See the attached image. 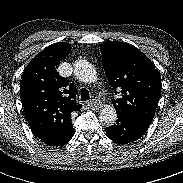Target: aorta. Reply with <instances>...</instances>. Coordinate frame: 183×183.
<instances>
[{
	"instance_id": "762f6f07",
	"label": "aorta",
	"mask_w": 183,
	"mask_h": 183,
	"mask_svg": "<svg viewBox=\"0 0 183 183\" xmlns=\"http://www.w3.org/2000/svg\"><path fill=\"white\" fill-rule=\"evenodd\" d=\"M75 76L86 83H92L97 80V72L95 67L86 60H77L74 63ZM117 119V113L112 105H106L101 111L99 120L106 126H111Z\"/></svg>"
}]
</instances>
